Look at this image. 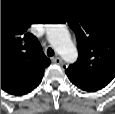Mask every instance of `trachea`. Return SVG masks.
<instances>
[{
	"label": "trachea",
	"mask_w": 115,
	"mask_h": 114,
	"mask_svg": "<svg viewBox=\"0 0 115 114\" xmlns=\"http://www.w3.org/2000/svg\"><path fill=\"white\" fill-rule=\"evenodd\" d=\"M54 51H53V49L52 48H48L47 49V55L49 56V57H52V56H54Z\"/></svg>",
	"instance_id": "1"
}]
</instances>
